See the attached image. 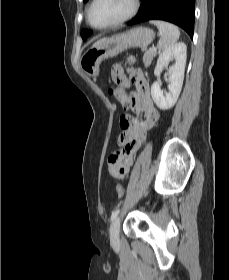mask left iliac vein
Here are the masks:
<instances>
[{
	"mask_svg": "<svg viewBox=\"0 0 229 280\" xmlns=\"http://www.w3.org/2000/svg\"><path fill=\"white\" fill-rule=\"evenodd\" d=\"M119 218H116L110 227V240L112 244H117L119 241Z\"/></svg>",
	"mask_w": 229,
	"mask_h": 280,
	"instance_id": "4c4485c4",
	"label": "left iliac vein"
}]
</instances>
